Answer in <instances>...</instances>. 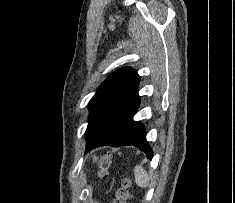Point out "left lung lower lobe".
<instances>
[{
    "label": "left lung lower lobe",
    "instance_id": "obj_1",
    "mask_svg": "<svg viewBox=\"0 0 235 203\" xmlns=\"http://www.w3.org/2000/svg\"><path fill=\"white\" fill-rule=\"evenodd\" d=\"M138 90L130 96L104 132L90 145L86 152L100 146H136L147 158L152 159L153 151L146 140L144 127L132 118L139 108Z\"/></svg>",
    "mask_w": 235,
    "mask_h": 203
}]
</instances>
